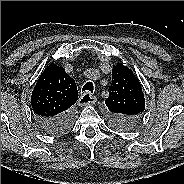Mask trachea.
Instances as JSON below:
<instances>
[{"instance_id": "trachea-1", "label": "trachea", "mask_w": 184, "mask_h": 184, "mask_svg": "<svg viewBox=\"0 0 184 184\" xmlns=\"http://www.w3.org/2000/svg\"><path fill=\"white\" fill-rule=\"evenodd\" d=\"M94 87H93V83L92 82H87L83 88H82V92L83 91H90L91 93L93 92Z\"/></svg>"}]
</instances>
